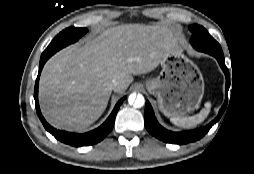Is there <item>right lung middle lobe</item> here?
I'll return each mask as SVG.
<instances>
[{
    "label": "right lung middle lobe",
    "instance_id": "dd1d6c3e",
    "mask_svg": "<svg viewBox=\"0 0 254 174\" xmlns=\"http://www.w3.org/2000/svg\"><path fill=\"white\" fill-rule=\"evenodd\" d=\"M87 32L86 28L69 27L60 32L49 44L41 57L50 58L61 48L79 40Z\"/></svg>",
    "mask_w": 254,
    "mask_h": 174
}]
</instances>
